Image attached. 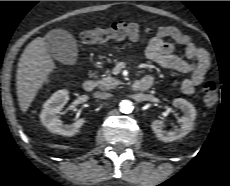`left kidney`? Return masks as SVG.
<instances>
[{"mask_svg":"<svg viewBox=\"0 0 230 186\" xmlns=\"http://www.w3.org/2000/svg\"><path fill=\"white\" fill-rule=\"evenodd\" d=\"M173 106L181 109L184 113V116L181 117L180 128L176 127L172 131H166L163 129V121L161 120H154L151 124V128L156 136L165 142H171L186 136L194 127V120L196 118L194 106L182 98L174 99Z\"/></svg>","mask_w":230,"mask_h":186,"instance_id":"1","label":"left kidney"}]
</instances>
